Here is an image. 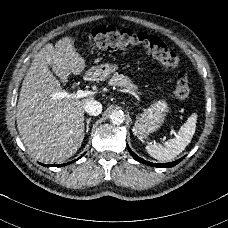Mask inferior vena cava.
<instances>
[{
	"instance_id": "1",
	"label": "inferior vena cava",
	"mask_w": 228,
	"mask_h": 228,
	"mask_svg": "<svg viewBox=\"0 0 228 228\" xmlns=\"http://www.w3.org/2000/svg\"><path fill=\"white\" fill-rule=\"evenodd\" d=\"M84 110L91 116H97L102 112V104L94 99H89L85 103Z\"/></svg>"
}]
</instances>
